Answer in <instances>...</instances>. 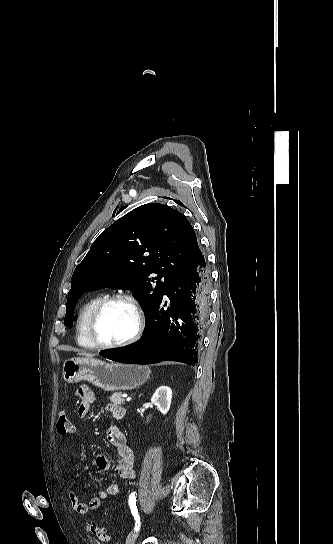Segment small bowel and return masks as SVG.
<instances>
[{
	"instance_id": "c3829d8e",
	"label": "small bowel",
	"mask_w": 333,
	"mask_h": 544,
	"mask_svg": "<svg viewBox=\"0 0 333 544\" xmlns=\"http://www.w3.org/2000/svg\"><path fill=\"white\" fill-rule=\"evenodd\" d=\"M79 404L77 413L80 418H85L90 412L91 405L95 402L96 396L88 386H81L77 391ZM108 410L116 419H121L125 415L124 408L116 403H110ZM107 440L116 449L119 457L115 467V472L126 480H132L135 477L134 471V453L127 445L126 437L120 427L112 425L107 430ZM96 466L100 471L106 472L111 469V462L105 454H99L96 458ZM121 487L117 483L109 484L103 492L92 497L88 502L82 501L74 489H68V496L73 510L79 515H85L90 510L97 509L103 499H107L119 494Z\"/></svg>"
}]
</instances>
